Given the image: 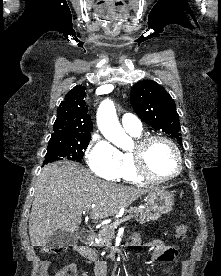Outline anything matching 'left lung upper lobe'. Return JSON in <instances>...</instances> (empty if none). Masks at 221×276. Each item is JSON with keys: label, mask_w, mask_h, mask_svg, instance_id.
I'll list each match as a JSON object with an SVG mask.
<instances>
[{"label": "left lung upper lobe", "mask_w": 221, "mask_h": 276, "mask_svg": "<svg viewBox=\"0 0 221 276\" xmlns=\"http://www.w3.org/2000/svg\"><path fill=\"white\" fill-rule=\"evenodd\" d=\"M130 99L135 113L145 123L181 142L176 105L164 87L152 80L137 82L131 89Z\"/></svg>", "instance_id": "obj_1"}]
</instances>
